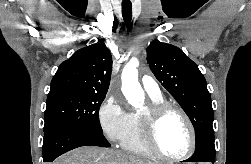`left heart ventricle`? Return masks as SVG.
Instances as JSON below:
<instances>
[{"instance_id":"obj_1","label":"left heart ventricle","mask_w":251,"mask_h":164,"mask_svg":"<svg viewBox=\"0 0 251 164\" xmlns=\"http://www.w3.org/2000/svg\"><path fill=\"white\" fill-rule=\"evenodd\" d=\"M157 139L162 151L172 157L184 155L190 147L187 124L174 111L167 113L160 122Z\"/></svg>"}]
</instances>
